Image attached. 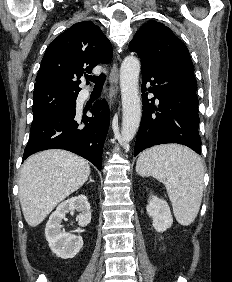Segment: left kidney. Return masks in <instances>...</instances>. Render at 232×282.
I'll return each mask as SVG.
<instances>
[{
	"label": "left kidney",
	"mask_w": 232,
	"mask_h": 282,
	"mask_svg": "<svg viewBox=\"0 0 232 282\" xmlns=\"http://www.w3.org/2000/svg\"><path fill=\"white\" fill-rule=\"evenodd\" d=\"M146 209L148 215L153 219V227L157 232H163L171 227L173 218L166 201L152 196Z\"/></svg>",
	"instance_id": "1"
}]
</instances>
